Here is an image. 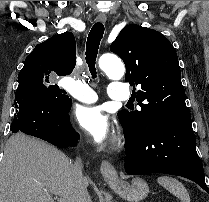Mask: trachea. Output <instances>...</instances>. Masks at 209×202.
I'll list each match as a JSON object with an SVG mask.
<instances>
[{
  "label": "trachea",
  "mask_w": 209,
  "mask_h": 202,
  "mask_svg": "<svg viewBox=\"0 0 209 202\" xmlns=\"http://www.w3.org/2000/svg\"><path fill=\"white\" fill-rule=\"evenodd\" d=\"M104 34V25L101 22H97L91 28V31L88 35L86 42V62L89 67V71L92 75V78L97 77L96 72V58L98 54V48L100 41Z\"/></svg>",
  "instance_id": "trachea-1"
}]
</instances>
